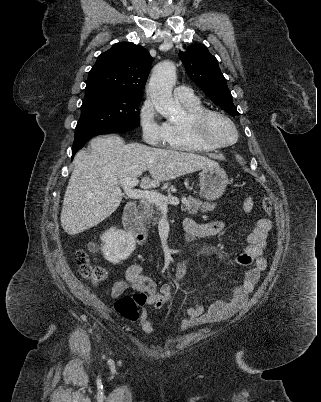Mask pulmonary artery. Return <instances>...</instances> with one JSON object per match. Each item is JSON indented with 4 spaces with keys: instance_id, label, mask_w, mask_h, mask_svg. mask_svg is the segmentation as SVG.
<instances>
[{
    "instance_id": "pulmonary-artery-1",
    "label": "pulmonary artery",
    "mask_w": 321,
    "mask_h": 402,
    "mask_svg": "<svg viewBox=\"0 0 321 402\" xmlns=\"http://www.w3.org/2000/svg\"><path fill=\"white\" fill-rule=\"evenodd\" d=\"M174 94L175 96L180 100V101H189L193 100L195 97L192 89L186 86H178L174 89Z\"/></svg>"
}]
</instances>
